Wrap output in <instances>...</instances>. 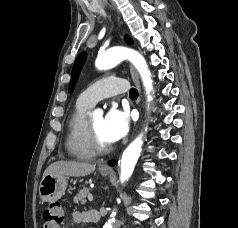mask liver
<instances>
[{"mask_svg":"<svg viewBox=\"0 0 238 228\" xmlns=\"http://www.w3.org/2000/svg\"><path fill=\"white\" fill-rule=\"evenodd\" d=\"M96 165L78 161H57L49 165L43 173V177L48 174H61L65 176L81 177L95 171Z\"/></svg>","mask_w":238,"mask_h":228,"instance_id":"liver-1","label":"liver"}]
</instances>
